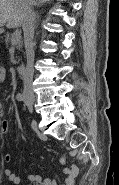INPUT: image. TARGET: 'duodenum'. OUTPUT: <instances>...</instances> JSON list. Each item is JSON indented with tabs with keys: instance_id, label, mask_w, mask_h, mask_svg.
<instances>
[{
	"instance_id": "1",
	"label": "duodenum",
	"mask_w": 119,
	"mask_h": 185,
	"mask_svg": "<svg viewBox=\"0 0 119 185\" xmlns=\"http://www.w3.org/2000/svg\"><path fill=\"white\" fill-rule=\"evenodd\" d=\"M17 71H18V74L21 78H25L27 76V68L26 66L24 65H20L18 68H17Z\"/></svg>"
}]
</instances>
